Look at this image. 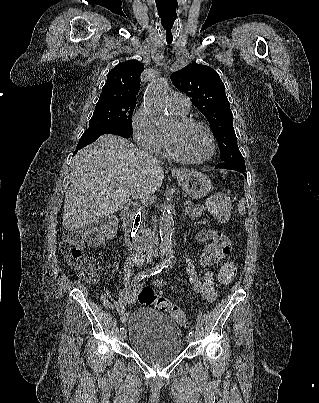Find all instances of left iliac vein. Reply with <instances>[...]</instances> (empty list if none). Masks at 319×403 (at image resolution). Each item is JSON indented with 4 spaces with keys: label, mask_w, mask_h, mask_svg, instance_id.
<instances>
[{
    "label": "left iliac vein",
    "mask_w": 319,
    "mask_h": 403,
    "mask_svg": "<svg viewBox=\"0 0 319 403\" xmlns=\"http://www.w3.org/2000/svg\"><path fill=\"white\" fill-rule=\"evenodd\" d=\"M193 340H194V337L191 336V335H190V336L188 335V336L186 337V342H187V343H191V342H193Z\"/></svg>",
    "instance_id": "4c4485c4"
}]
</instances>
